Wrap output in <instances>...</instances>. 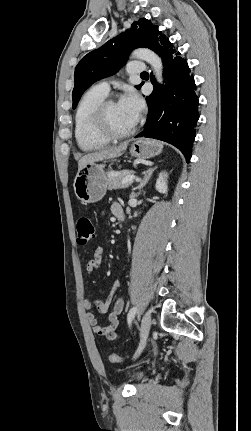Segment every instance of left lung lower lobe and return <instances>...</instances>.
Listing matches in <instances>:
<instances>
[{
    "label": "left lung lower lobe",
    "instance_id": "0a47b994",
    "mask_svg": "<svg viewBox=\"0 0 251 431\" xmlns=\"http://www.w3.org/2000/svg\"><path fill=\"white\" fill-rule=\"evenodd\" d=\"M152 50L162 59L165 85L158 86L146 97L148 116L144 130L137 137L155 138L177 147L189 162L199 119L198 96L194 77L185 59L166 37H160ZM143 84V83H142Z\"/></svg>",
    "mask_w": 251,
    "mask_h": 431
}]
</instances>
